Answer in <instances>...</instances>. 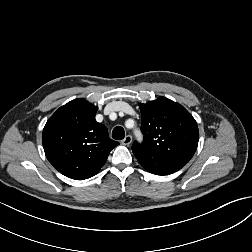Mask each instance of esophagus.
<instances>
[{"label":"esophagus","mask_w":252,"mask_h":252,"mask_svg":"<svg viewBox=\"0 0 252 252\" xmlns=\"http://www.w3.org/2000/svg\"><path fill=\"white\" fill-rule=\"evenodd\" d=\"M132 142V137L130 135L125 136V138L121 141L123 145H130Z\"/></svg>","instance_id":"1"}]
</instances>
